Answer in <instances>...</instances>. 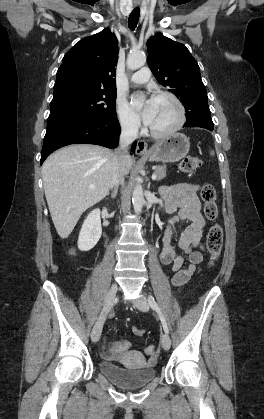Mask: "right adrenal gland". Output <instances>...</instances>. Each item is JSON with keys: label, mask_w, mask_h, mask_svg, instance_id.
Returning <instances> with one entry per match:
<instances>
[{"label": "right adrenal gland", "mask_w": 264, "mask_h": 419, "mask_svg": "<svg viewBox=\"0 0 264 419\" xmlns=\"http://www.w3.org/2000/svg\"><path fill=\"white\" fill-rule=\"evenodd\" d=\"M117 195V188L111 193V197L115 198Z\"/></svg>", "instance_id": "2a0ac1e0"}]
</instances>
